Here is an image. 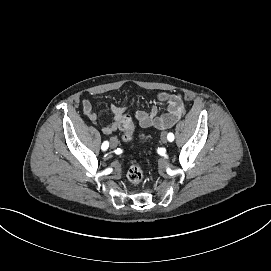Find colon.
Instances as JSON below:
<instances>
[{
    "label": "colon",
    "mask_w": 271,
    "mask_h": 271,
    "mask_svg": "<svg viewBox=\"0 0 271 271\" xmlns=\"http://www.w3.org/2000/svg\"><path fill=\"white\" fill-rule=\"evenodd\" d=\"M135 124L131 115H125L119 124V129L122 132V139L129 142L133 138ZM128 180L133 184H139L144 178V173L141 165L138 162H133L127 172Z\"/></svg>",
    "instance_id": "colon-1"
}]
</instances>
